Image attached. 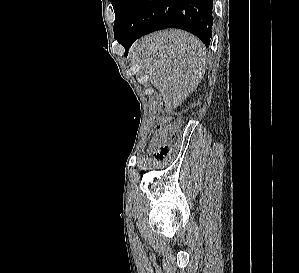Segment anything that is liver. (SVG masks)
Segmentation results:
<instances>
[{
	"label": "liver",
	"instance_id": "liver-1",
	"mask_svg": "<svg viewBox=\"0 0 299 273\" xmlns=\"http://www.w3.org/2000/svg\"><path fill=\"white\" fill-rule=\"evenodd\" d=\"M131 59L150 77L163 96L167 111L181 104L201 82L206 69V48L182 30H166L136 42Z\"/></svg>",
	"mask_w": 299,
	"mask_h": 273
}]
</instances>
